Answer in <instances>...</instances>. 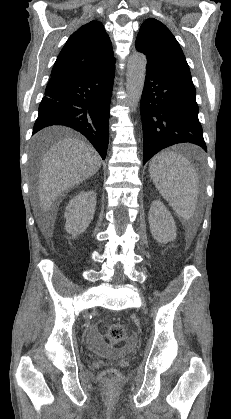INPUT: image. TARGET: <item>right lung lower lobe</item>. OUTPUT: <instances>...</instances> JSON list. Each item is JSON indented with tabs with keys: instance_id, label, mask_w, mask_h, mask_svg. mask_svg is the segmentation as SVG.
<instances>
[{
	"instance_id": "98d812e1",
	"label": "right lung lower lobe",
	"mask_w": 231,
	"mask_h": 419,
	"mask_svg": "<svg viewBox=\"0 0 231 419\" xmlns=\"http://www.w3.org/2000/svg\"><path fill=\"white\" fill-rule=\"evenodd\" d=\"M115 63L95 72L51 76L33 134L51 125L82 133L105 159Z\"/></svg>"
}]
</instances>
